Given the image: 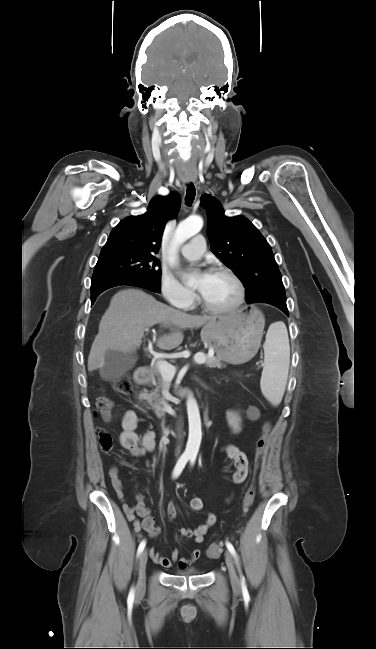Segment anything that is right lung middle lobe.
I'll return each instance as SVG.
<instances>
[{"label":"right lung middle lobe","mask_w":376,"mask_h":649,"mask_svg":"<svg viewBox=\"0 0 376 649\" xmlns=\"http://www.w3.org/2000/svg\"><path fill=\"white\" fill-rule=\"evenodd\" d=\"M160 262L149 252H112L100 254L91 283L106 279H135L145 281L160 290Z\"/></svg>","instance_id":"1"}]
</instances>
